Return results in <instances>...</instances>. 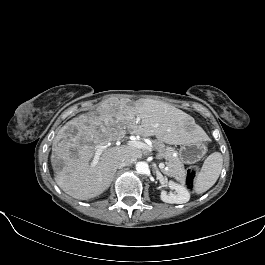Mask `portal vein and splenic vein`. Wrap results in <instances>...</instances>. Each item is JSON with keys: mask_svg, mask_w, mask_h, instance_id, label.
<instances>
[{"mask_svg": "<svg viewBox=\"0 0 265 265\" xmlns=\"http://www.w3.org/2000/svg\"><path fill=\"white\" fill-rule=\"evenodd\" d=\"M127 145L130 147L138 148V149H143V150H148V151L152 150V148L150 146H148L146 143L139 141V140H136V139L129 140L127 142ZM105 148H106L105 146H99L96 148L94 158L91 162V167H95L97 165L99 158H100V155L102 154V152L104 151ZM159 168L161 170L164 168L167 169V167H165V164L163 162H161L159 164Z\"/></svg>", "mask_w": 265, "mask_h": 265, "instance_id": "1", "label": "portal vein and splenic vein"}]
</instances>
